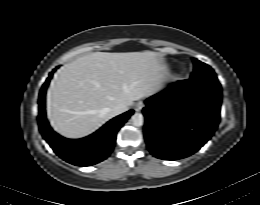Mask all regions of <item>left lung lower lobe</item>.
<instances>
[{
  "instance_id": "1",
  "label": "left lung lower lobe",
  "mask_w": 260,
  "mask_h": 205,
  "mask_svg": "<svg viewBox=\"0 0 260 205\" xmlns=\"http://www.w3.org/2000/svg\"><path fill=\"white\" fill-rule=\"evenodd\" d=\"M221 96L220 84L189 79L147 99L144 135L150 152L177 160L198 151L218 126Z\"/></svg>"
}]
</instances>
